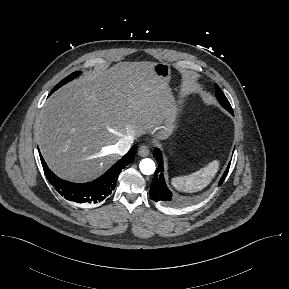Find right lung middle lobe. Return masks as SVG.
I'll list each match as a JSON object with an SVG mask.
<instances>
[{"label":"right lung middle lobe","instance_id":"right-lung-middle-lobe-1","mask_svg":"<svg viewBox=\"0 0 289 289\" xmlns=\"http://www.w3.org/2000/svg\"><path fill=\"white\" fill-rule=\"evenodd\" d=\"M80 74V72H73L72 74H70L69 76H67L65 79H63L62 81H60L50 92V94H52L54 91H56L58 88H60L61 86H63L64 84H66L67 82L73 80L75 77H77Z\"/></svg>","mask_w":289,"mask_h":289}]
</instances>
